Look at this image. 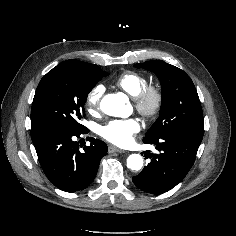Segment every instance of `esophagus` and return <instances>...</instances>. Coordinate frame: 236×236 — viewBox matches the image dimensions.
<instances>
[{
	"mask_svg": "<svg viewBox=\"0 0 236 236\" xmlns=\"http://www.w3.org/2000/svg\"><path fill=\"white\" fill-rule=\"evenodd\" d=\"M108 152L109 153H115V152L124 153L125 151L118 148V147H116V146L110 145L109 148H108Z\"/></svg>",
	"mask_w": 236,
	"mask_h": 236,
	"instance_id": "1",
	"label": "esophagus"
}]
</instances>
